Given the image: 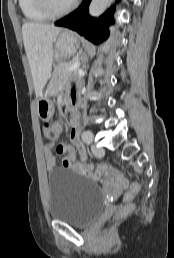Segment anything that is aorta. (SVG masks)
<instances>
[{
    "label": "aorta",
    "instance_id": "aorta-1",
    "mask_svg": "<svg viewBox=\"0 0 174 258\" xmlns=\"http://www.w3.org/2000/svg\"><path fill=\"white\" fill-rule=\"evenodd\" d=\"M110 0H92L89 6V14L93 17L100 16L107 8Z\"/></svg>",
    "mask_w": 174,
    "mask_h": 258
}]
</instances>
